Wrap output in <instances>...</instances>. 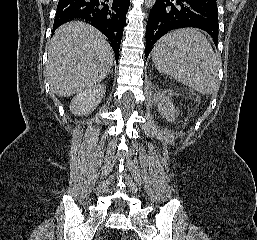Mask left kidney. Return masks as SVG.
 Returning <instances> with one entry per match:
<instances>
[{
  "instance_id": "left-kidney-1",
  "label": "left kidney",
  "mask_w": 257,
  "mask_h": 240,
  "mask_svg": "<svg viewBox=\"0 0 257 240\" xmlns=\"http://www.w3.org/2000/svg\"><path fill=\"white\" fill-rule=\"evenodd\" d=\"M158 110L163 117L169 118L175 115L176 110L170 99L164 96L158 104Z\"/></svg>"
}]
</instances>
